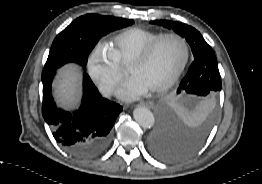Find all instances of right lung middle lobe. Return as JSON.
<instances>
[{
    "instance_id": "right-lung-middle-lobe-1",
    "label": "right lung middle lobe",
    "mask_w": 262,
    "mask_h": 184,
    "mask_svg": "<svg viewBox=\"0 0 262 184\" xmlns=\"http://www.w3.org/2000/svg\"><path fill=\"white\" fill-rule=\"evenodd\" d=\"M133 20L87 14L75 19L54 39L42 74L74 62L85 66L96 43L106 34L133 24Z\"/></svg>"
}]
</instances>
